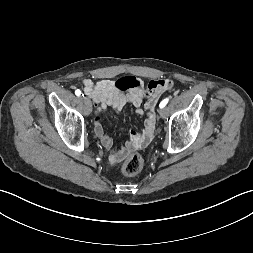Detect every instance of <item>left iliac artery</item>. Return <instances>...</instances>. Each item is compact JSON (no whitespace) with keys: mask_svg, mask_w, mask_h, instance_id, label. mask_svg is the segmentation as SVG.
Here are the masks:
<instances>
[{"mask_svg":"<svg viewBox=\"0 0 253 253\" xmlns=\"http://www.w3.org/2000/svg\"><path fill=\"white\" fill-rule=\"evenodd\" d=\"M168 101H169L168 98L162 100L161 103H160V105H159V107L160 108H164L167 105Z\"/></svg>","mask_w":253,"mask_h":253,"instance_id":"1","label":"left iliac artery"}]
</instances>
